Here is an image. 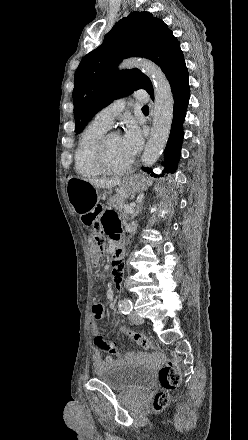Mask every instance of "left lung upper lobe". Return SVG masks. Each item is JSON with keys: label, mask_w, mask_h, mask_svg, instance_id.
I'll list each match as a JSON object with an SVG mask.
<instances>
[{"label": "left lung upper lobe", "mask_w": 248, "mask_h": 440, "mask_svg": "<svg viewBox=\"0 0 248 440\" xmlns=\"http://www.w3.org/2000/svg\"><path fill=\"white\" fill-rule=\"evenodd\" d=\"M132 56L145 57L165 73L170 85L188 76L180 44L167 25L149 12H132L115 24L103 44L80 62L74 77L75 132L113 100L138 89L151 97L150 79L140 70L117 71V65Z\"/></svg>", "instance_id": "1"}]
</instances>
